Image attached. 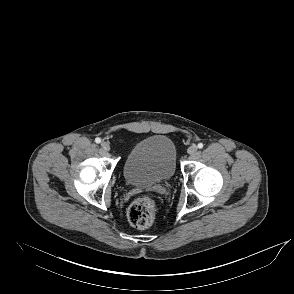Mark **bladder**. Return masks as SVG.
<instances>
[{"label":"bladder","instance_id":"bladder-1","mask_svg":"<svg viewBox=\"0 0 294 294\" xmlns=\"http://www.w3.org/2000/svg\"><path fill=\"white\" fill-rule=\"evenodd\" d=\"M176 162L174 142L166 135H153L131 149L123 165V177L132 187H148L170 179L175 173Z\"/></svg>","mask_w":294,"mask_h":294}]
</instances>
